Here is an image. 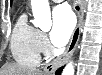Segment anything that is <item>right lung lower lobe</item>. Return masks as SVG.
Returning a JSON list of instances; mask_svg holds the SVG:
<instances>
[{
  "label": "right lung lower lobe",
  "mask_w": 102,
  "mask_h": 75,
  "mask_svg": "<svg viewBox=\"0 0 102 75\" xmlns=\"http://www.w3.org/2000/svg\"><path fill=\"white\" fill-rule=\"evenodd\" d=\"M61 72H62V68H60V69H58V70L56 71V75H60Z\"/></svg>",
  "instance_id": "98d812e1"
}]
</instances>
